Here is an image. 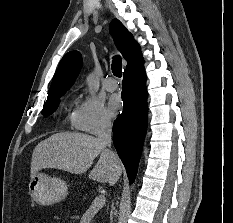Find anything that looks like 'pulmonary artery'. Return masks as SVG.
<instances>
[{"label": "pulmonary artery", "instance_id": "1", "mask_svg": "<svg viewBox=\"0 0 233 223\" xmlns=\"http://www.w3.org/2000/svg\"><path fill=\"white\" fill-rule=\"evenodd\" d=\"M104 86L110 92H113L117 89V85L115 83V80L113 78H110V77L105 79Z\"/></svg>", "mask_w": 233, "mask_h": 223}]
</instances>
